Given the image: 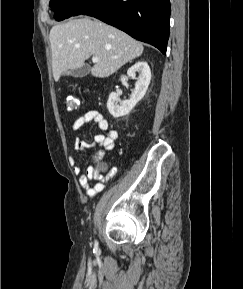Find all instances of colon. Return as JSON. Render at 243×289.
<instances>
[{"label": "colon", "instance_id": "1", "mask_svg": "<svg viewBox=\"0 0 243 289\" xmlns=\"http://www.w3.org/2000/svg\"><path fill=\"white\" fill-rule=\"evenodd\" d=\"M66 106L69 110H73L75 108L78 107L79 103H80V100L78 97L74 96V95H69L67 98H66ZM101 168H105V165L102 164L101 165Z\"/></svg>", "mask_w": 243, "mask_h": 289}]
</instances>
